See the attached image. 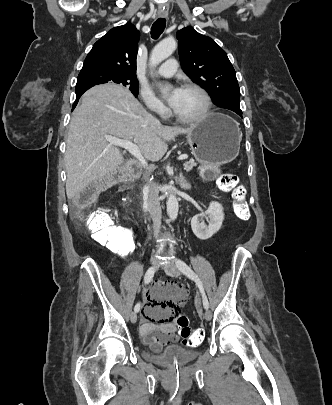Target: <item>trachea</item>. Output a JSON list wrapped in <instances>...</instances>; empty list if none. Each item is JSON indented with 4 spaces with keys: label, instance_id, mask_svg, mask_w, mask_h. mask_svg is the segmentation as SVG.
I'll return each mask as SVG.
<instances>
[{
    "label": "trachea",
    "instance_id": "obj_1",
    "mask_svg": "<svg viewBox=\"0 0 332 405\" xmlns=\"http://www.w3.org/2000/svg\"><path fill=\"white\" fill-rule=\"evenodd\" d=\"M165 25H166V19L164 18H159L157 19L152 27H151V37L153 39H158L159 36L162 34V32L165 29Z\"/></svg>",
    "mask_w": 332,
    "mask_h": 405
}]
</instances>
